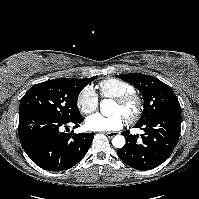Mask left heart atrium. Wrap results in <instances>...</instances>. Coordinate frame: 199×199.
Here are the masks:
<instances>
[{
	"label": "left heart atrium",
	"mask_w": 199,
	"mask_h": 199,
	"mask_svg": "<svg viewBox=\"0 0 199 199\" xmlns=\"http://www.w3.org/2000/svg\"><path fill=\"white\" fill-rule=\"evenodd\" d=\"M125 116L121 113H114L111 116L94 114L87 118L86 125L93 131H114L123 127Z\"/></svg>",
	"instance_id": "obj_1"
}]
</instances>
